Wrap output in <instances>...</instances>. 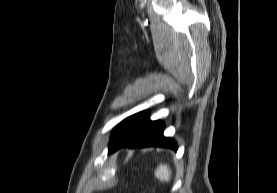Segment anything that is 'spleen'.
Wrapping results in <instances>:
<instances>
[{
  "instance_id": "spleen-1",
  "label": "spleen",
  "mask_w": 277,
  "mask_h": 193,
  "mask_svg": "<svg viewBox=\"0 0 277 193\" xmlns=\"http://www.w3.org/2000/svg\"><path fill=\"white\" fill-rule=\"evenodd\" d=\"M154 174L161 182H168L171 178V170L167 164H160Z\"/></svg>"
}]
</instances>
